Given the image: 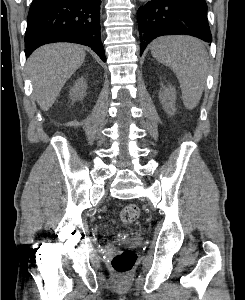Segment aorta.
Here are the masks:
<instances>
[{
  "instance_id": "aorta-1",
  "label": "aorta",
  "mask_w": 245,
  "mask_h": 300,
  "mask_svg": "<svg viewBox=\"0 0 245 300\" xmlns=\"http://www.w3.org/2000/svg\"><path fill=\"white\" fill-rule=\"evenodd\" d=\"M141 2H144V1H146V0H140Z\"/></svg>"
}]
</instances>
